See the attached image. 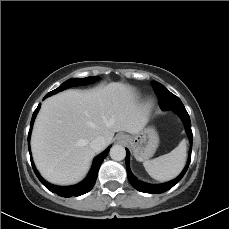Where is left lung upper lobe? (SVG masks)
<instances>
[{"instance_id":"5c2ea615","label":"left lung upper lobe","mask_w":229,"mask_h":229,"mask_svg":"<svg viewBox=\"0 0 229 229\" xmlns=\"http://www.w3.org/2000/svg\"><path fill=\"white\" fill-rule=\"evenodd\" d=\"M154 90L159 98L160 107L163 110L176 109L183 107L181 100L172 94L167 88L157 82H152Z\"/></svg>"}]
</instances>
